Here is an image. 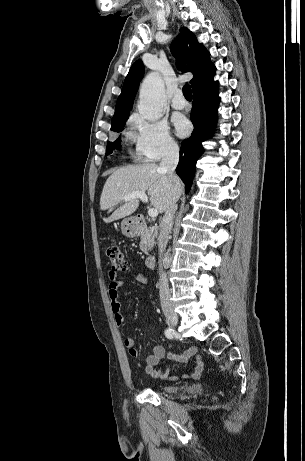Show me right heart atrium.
Listing matches in <instances>:
<instances>
[{"label": "right heart atrium", "instance_id": "right-heart-atrium-1", "mask_svg": "<svg viewBox=\"0 0 305 461\" xmlns=\"http://www.w3.org/2000/svg\"><path fill=\"white\" fill-rule=\"evenodd\" d=\"M130 126V137L135 143V152L140 160L157 161L178 150L177 142L164 121H148L134 115L130 120Z\"/></svg>", "mask_w": 305, "mask_h": 461}]
</instances>
